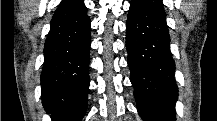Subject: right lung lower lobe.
Masks as SVG:
<instances>
[{"mask_svg": "<svg viewBox=\"0 0 217 121\" xmlns=\"http://www.w3.org/2000/svg\"><path fill=\"white\" fill-rule=\"evenodd\" d=\"M90 19L81 0H63L44 47L42 103L53 121H81L89 87Z\"/></svg>", "mask_w": 217, "mask_h": 121, "instance_id": "obj_1", "label": "right lung lower lobe"}]
</instances>
